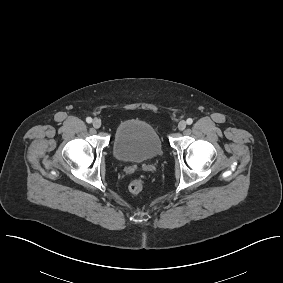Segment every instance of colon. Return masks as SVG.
<instances>
[{
	"instance_id": "5ec220e1",
	"label": "colon",
	"mask_w": 283,
	"mask_h": 283,
	"mask_svg": "<svg viewBox=\"0 0 283 283\" xmlns=\"http://www.w3.org/2000/svg\"><path fill=\"white\" fill-rule=\"evenodd\" d=\"M145 189H146L145 182L140 178L134 179L129 184V190L133 194H141L145 191Z\"/></svg>"
}]
</instances>
